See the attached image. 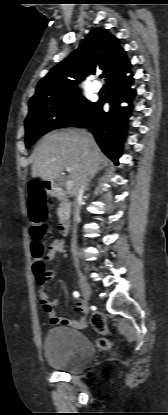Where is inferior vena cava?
Returning <instances> with one entry per match:
<instances>
[{
    "label": "inferior vena cava",
    "instance_id": "1",
    "mask_svg": "<svg viewBox=\"0 0 168 415\" xmlns=\"http://www.w3.org/2000/svg\"><path fill=\"white\" fill-rule=\"evenodd\" d=\"M87 178L85 177L80 183L79 187L75 192V199L73 203V227H72V239H71V252L74 260V264L78 267V251H77V223L80 219V202L83 197L85 185L87 183Z\"/></svg>",
    "mask_w": 168,
    "mask_h": 415
}]
</instances>
